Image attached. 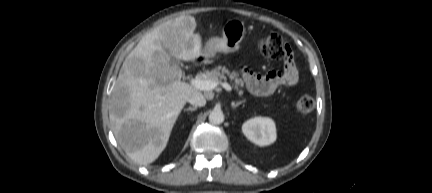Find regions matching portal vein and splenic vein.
I'll use <instances>...</instances> for the list:
<instances>
[{
	"instance_id": "obj_1",
	"label": "portal vein and splenic vein",
	"mask_w": 432,
	"mask_h": 193,
	"mask_svg": "<svg viewBox=\"0 0 432 193\" xmlns=\"http://www.w3.org/2000/svg\"><path fill=\"white\" fill-rule=\"evenodd\" d=\"M191 84L199 89V90H204V91H211L213 89H215L218 85V83L216 81L213 80H202V79H191ZM222 87L227 90V91H232V87L227 83V82H223L221 83Z\"/></svg>"
}]
</instances>
